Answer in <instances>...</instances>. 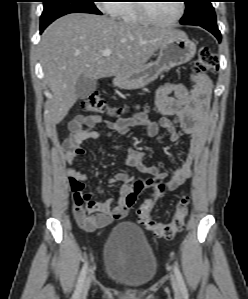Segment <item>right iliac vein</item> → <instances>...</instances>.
<instances>
[{
  "mask_svg": "<svg viewBox=\"0 0 248 299\" xmlns=\"http://www.w3.org/2000/svg\"><path fill=\"white\" fill-rule=\"evenodd\" d=\"M90 283H91V279L90 277H87V279L85 280L83 287H82V291H81V295L85 296L90 288Z\"/></svg>",
  "mask_w": 248,
  "mask_h": 299,
  "instance_id": "obj_1",
  "label": "right iliac vein"
}]
</instances>
